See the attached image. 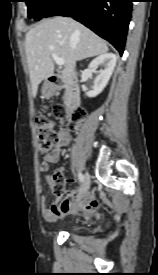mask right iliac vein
<instances>
[{
	"label": "right iliac vein",
	"mask_w": 158,
	"mask_h": 275,
	"mask_svg": "<svg viewBox=\"0 0 158 275\" xmlns=\"http://www.w3.org/2000/svg\"><path fill=\"white\" fill-rule=\"evenodd\" d=\"M90 187V176L85 173L84 180L81 186V195H85Z\"/></svg>",
	"instance_id": "obj_1"
}]
</instances>
